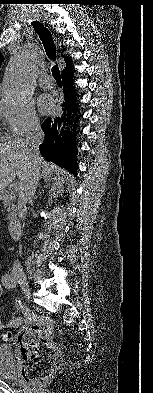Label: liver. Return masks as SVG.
Masks as SVG:
<instances>
[{"mask_svg":"<svg viewBox=\"0 0 153 393\" xmlns=\"http://www.w3.org/2000/svg\"><path fill=\"white\" fill-rule=\"evenodd\" d=\"M41 161L39 152L31 151L25 139L19 138L0 143V193L16 176L22 185L33 171L34 165Z\"/></svg>","mask_w":153,"mask_h":393,"instance_id":"6515ba94","label":"liver"}]
</instances>
